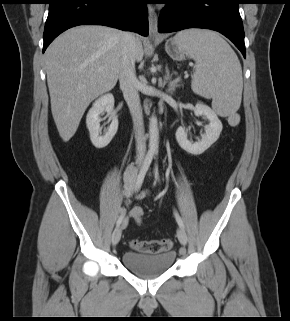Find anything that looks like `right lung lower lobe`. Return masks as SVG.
Listing matches in <instances>:
<instances>
[{
	"mask_svg": "<svg viewBox=\"0 0 290 321\" xmlns=\"http://www.w3.org/2000/svg\"><path fill=\"white\" fill-rule=\"evenodd\" d=\"M146 0H50L43 52L63 31L82 24L105 25L148 35Z\"/></svg>",
	"mask_w": 290,
	"mask_h": 321,
	"instance_id": "obj_1",
	"label": "right lung lower lobe"
}]
</instances>
